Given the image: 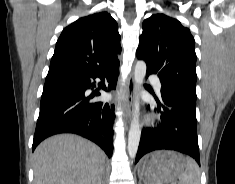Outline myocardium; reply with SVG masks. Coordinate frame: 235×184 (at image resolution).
<instances>
[{"instance_id":"obj_1","label":"myocardium","mask_w":235,"mask_h":184,"mask_svg":"<svg viewBox=\"0 0 235 184\" xmlns=\"http://www.w3.org/2000/svg\"><path fill=\"white\" fill-rule=\"evenodd\" d=\"M146 122L149 123V124H151V123L153 122V120H152V118H148V119L146 120Z\"/></svg>"}]
</instances>
